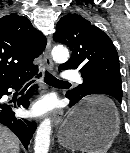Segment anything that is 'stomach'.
<instances>
[{"label": "stomach", "instance_id": "0dacf381", "mask_svg": "<svg viewBox=\"0 0 130 153\" xmlns=\"http://www.w3.org/2000/svg\"><path fill=\"white\" fill-rule=\"evenodd\" d=\"M119 124V114L111 100L88 97L68 112L58 131V141L67 149L106 153L118 134Z\"/></svg>", "mask_w": 130, "mask_h": 153}]
</instances>
